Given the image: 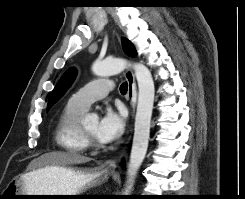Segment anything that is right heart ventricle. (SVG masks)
<instances>
[{"label":"right heart ventricle","instance_id":"e07e8e85","mask_svg":"<svg viewBox=\"0 0 245 199\" xmlns=\"http://www.w3.org/2000/svg\"><path fill=\"white\" fill-rule=\"evenodd\" d=\"M84 113L85 110L68 102L58 118L56 141L68 153L81 154L88 149L80 132V118Z\"/></svg>","mask_w":245,"mask_h":199}]
</instances>
